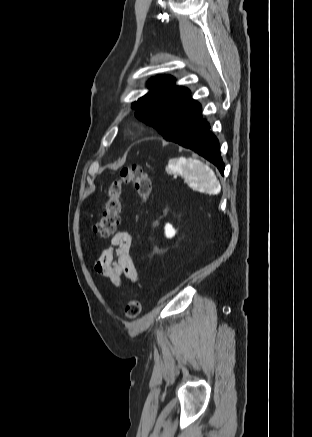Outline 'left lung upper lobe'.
Instances as JSON below:
<instances>
[{
    "label": "left lung upper lobe",
    "instance_id": "5c2ea615",
    "mask_svg": "<svg viewBox=\"0 0 312 437\" xmlns=\"http://www.w3.org/2000/svg\"><path fill=\"white\" fill-rule=\"evenodd\" d=\"M172 76L161 75L148 83L150 91L132 104L135 116L157 129L168 141L179 138L201 114V105L190 97V90L174 84Z\"/></svg>",
    "mask_w": 312,
    "mask_h": 437
}]
</instances>
